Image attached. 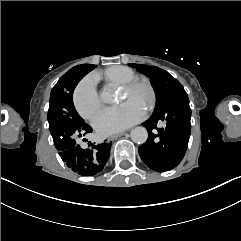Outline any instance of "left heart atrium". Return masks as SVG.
Returning a JSON list of instances; mask_svg holds the SVG:
<instances>
[{
	"instance_id": "39dd6f15",
	"label": "left heart atrium",
	"mask_w": 241,
	"mask_h": 241,
	"mask_svg": "<svg viewBox=\"0 0 241 241\" xmlns=\"http://www.w3.org/2000/svg\"><path fill=\"white\" fill-rule=\"evenodd\" d=\"M144 118V112L128 111L122 107L106 108L92 119L94 128L102 135H111L127 130Z\"/></svg>"
}]
</instances>
